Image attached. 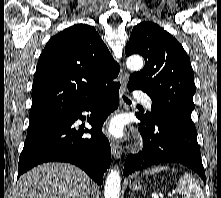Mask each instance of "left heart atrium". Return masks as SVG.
Listing matches in <instances>:
<instances>
[{"label":"left heart atrium","instance_id":"left-heart-atrium-1","mask_svg":"<svg viewBox=\"0 0 221 198\" xmlns=\"http://www.w3.org/2000/svg\"><path fill=\"white\" fill-rule=\"evenodd\" d=\"M107 133L113 138H120L123 135V125L119 120H114L107 128Z\"/></svg>","mask_w":221,"mask_h":198}]
</instances>
